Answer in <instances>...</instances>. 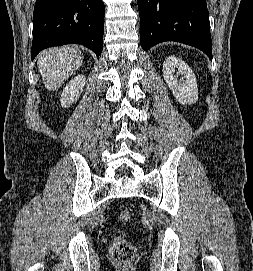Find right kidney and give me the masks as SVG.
Segmentation results:
<instances>
[{
    "label": "right kidney",
    "instance_id": "right-kidney-1",
    "mask_svg": "<svg viewBox=\"0 0 253 271\" xmlns=\"http://www.w3.org/2000/svg\"><path fill=\"white\" fill-rule=\"evenodd\" d=\"M85 81V76L78 75L66 85L60 98V102L63 107H69L72 103L78 100L83 91Z\"/></svg>",
    "mask_w": 253,
    "mask_h": 271
}]
</instances>
